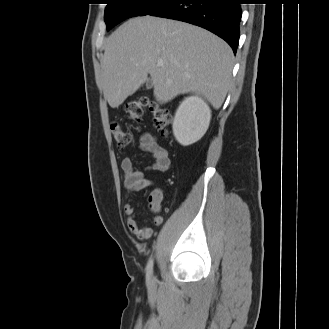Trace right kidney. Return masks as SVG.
<instances>
[{
    "instance_id": "obj_1",
    "label": "right kidney",
    "mask_w": 329,
    "mask_h": 329,
    "mask_svg": "<svg viewBox=\"0 0 329 329\" xmlns=\"http://www.w3.org/2000/svg\"><path fill=\"white\" fill-rule=\"evenodd\" d=\"M211 119L208 104L199 96L185 98L179 105L173 120V134L183 146L200 140L206 133Z\"/></svg>"
}]
</instances>
